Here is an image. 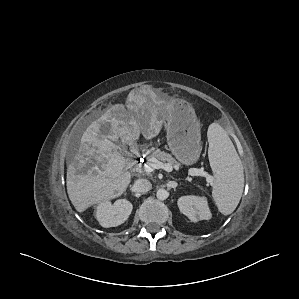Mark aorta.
<instances>
[{
	"instance_id": "obj_1",
	"label": "aorta",
	"mask_w": 299,
	"mask_h": 299,
	"mask_svg": "<svg viewBox=\"0 0 299 299\" xmlns=\"http://www.w3.org/2000/svg\"><path fill=\"white\" fill-rule=\"evenodd\" d=\"M168 192L167 190L163 189V188H160L157 190V193H156V196L159 200H165L168 198Z\"/></svg>"
}]
</instances>
